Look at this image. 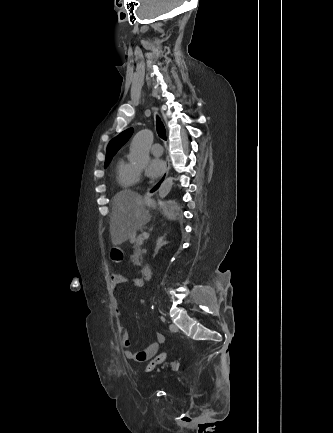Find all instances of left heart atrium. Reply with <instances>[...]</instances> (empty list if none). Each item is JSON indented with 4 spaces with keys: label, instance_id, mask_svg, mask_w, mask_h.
<instances>
[{
    "label": "left heart atrium",
    "instance_id": "39dd6f15",
    "mask_svg": "<svg viewBox=\"0 0 333 433\" xmlns=\"http://www.w3.org/2000/svg\"><path fill=\"white\" fill-rule=\"evenodd\" d=\"M165 169V162L160 157L150 159L146 173L151 178L159 177Z\"/></svg>",
    "mask_w": 333,
    "mask_h": 433
}]
</instances>
